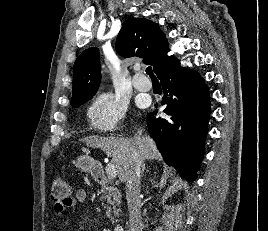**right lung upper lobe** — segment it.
I'll return each instance as SVG.
<instances>
[{"label":"right lung upper lobe","mask_w":268,"mask_h":231,"mask_svg":"<svg viewBox=\"0 0 268 231\" xmlns=\"http://www.w3.org/2000/svg\"><path fill=\"white\" fill-rule=\"evenodd\" d=\"M116 50L123 57H141L150 64L159 76L164 70L179 63L174 56H168L166 35L159 25L145 18H131L123 22L117 36ZM71 104L90 99L100 84L99 51L89 48L76 59L73 69Z\"/></svg>","instance_id":"right-lung-upper-lobe-1"}]
</instances>
